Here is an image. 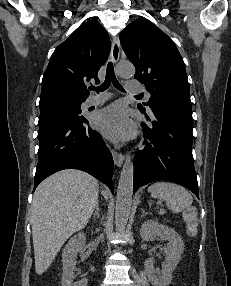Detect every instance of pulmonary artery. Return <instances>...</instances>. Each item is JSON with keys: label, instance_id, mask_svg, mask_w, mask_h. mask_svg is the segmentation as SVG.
<instances>
[{"label": "pulmonary artery", "instance_id": "e3ab8cb5", "mask_svg": "<svg viewBox=\"0 0 231 286\" xmlns=\"http://www.w3.org/2000/svg\"><path fill=\"white\" fill-rule=\"evenodd\" d=\"M127 90L131 93H142L144 92V87L137 80H130L127 82ZM109 98H110V95L108 93H103L99 95H91L85 101V106L91 107L94 105H98V104H101L107 101Z\"/></svg>", "mask_w": 231, "mask_h": 286}]
</instances>
